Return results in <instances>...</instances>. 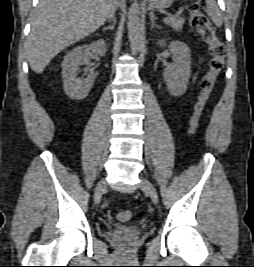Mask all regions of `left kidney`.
Here are the masks:
<instances>
[{
	"instance_id": "1",
	"label": "left kidney",
	"mask_w": 254,
	"mask_h": 267,
	"mask_svg": "<svg viewBox=\"0 0 254 267\" xmlns=\"http://www.w3.org/2000/svg\"><path fill=\"white\" fill-rule=\"evenodd\" d=\"M158 45L165 46V41L160 40ZM169 49L174 61L163 72L168 91L172 96L183 95L191 76V52L189 47L181 41H172Z\"/></svg>"
}]
</instances>
